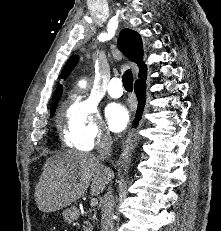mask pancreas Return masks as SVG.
Listing matches in <instances>:
<instances>
[{
	"label": "pancreas",
	"instance_id": "1",
	"mask_svg": "<svg viewBox=\"0 0 221 231\" xmlns=\"http://www.w3.org/2000/svg\"><path fill=\"white\" fill-rule=\"evenodd\" d=\"M90 219L93 220L94 217H90ZM85 224H86V226L84 227V231H93V228H94V226H93L94 221H93L92 223L89 222V221H85Z\"/></svg>",
	"mask_w": 221,
	"mask_h": 231
}]
</instances>
